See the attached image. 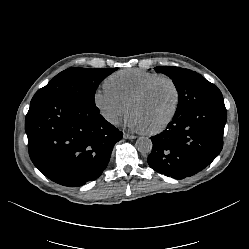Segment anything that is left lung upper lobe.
<instances>
[{
    "mask_svg": "<svg viewBox=\"0 0 249 249\" xmlns=\"http://www.w3.org/2000/svg\"><path fill=\"white\" fill-rule=\"evenodd\" d=\"M156 72L169 76L178 91V106L174 116L210 103L224 102L222 93L200 74L179 67L157 66Z\"/></svg>",
    "mask_w": 249,
    "mask_h": 249,
    "instance_id": "1",
    "label": "left lung upper lobe"
}]
</instances>
